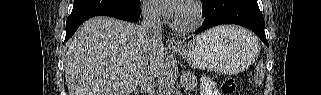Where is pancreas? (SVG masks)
<instances>
[{
    "label": "pancreas",
    "mask_w": 321,
    "mask_h": 95,
    "mask_svg": "<svg viewBox=\"0 0 321 95\" xmlns=\"http://www.w3.org/2000/svg\"><path fill=\"white\" fill-rule=\"evenodd\" d=\"M182 86L188 91H193L197 86L196 77L190 73L184 74L182 78Z\"/></svg>",
    "instance_id": "cf45deb5"
}]
</instances>
